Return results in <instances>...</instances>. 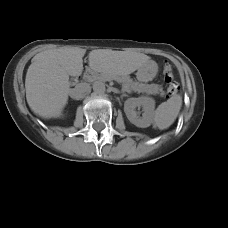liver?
Returning a JSON list of instances; mask_svg holds the SVG:
<instances>
[{"label": "liver", "mask_w": 228, "mask_h": 228, "mask_svg": "<svg viewBox=\"0 0 228 228\" xmlns=\"http://www.w3.org/2000/svg\"><path fill=\"white\" fill-rule=\"evenodd\" d=\"M81 48H62L36 54L25 79L26 99L30 109L42 118L57 117L68 101L69 76L83 71ZM89 67L106 76H127L154 61L142 53L93 50L89 53Z\"/></svg>", "instance_id": "6515ba94"}]
</instances>
